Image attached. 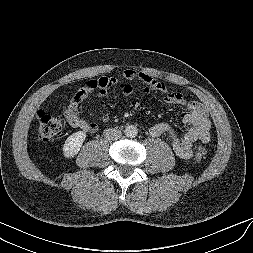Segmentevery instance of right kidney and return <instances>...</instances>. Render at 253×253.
<instances>
[{"label":"right kidney","instance_id":"obj_1","mask_svg":"<svg viewBox=\"0 0 253 253\" xmlns=\"http://www.w3.org/2000/svg\"><path fill=\"white\" fill-rule=\"evenodd\" d=\"M86 138V133L78 131L70 135L63 145V155L66 158H72L80 151Z\"/></svg>","mask_w":253,"mask_h":253}]
</instances>
